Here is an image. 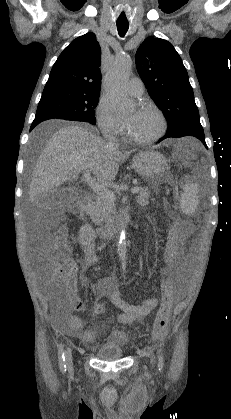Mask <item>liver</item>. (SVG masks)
Masks as SVG:
<instances>
[{
    "label": "liver",
    "instance_id": "liver-1",
    "mask_svg": "<svg viewBox=\"0 0 231 419\" xmlns=\"http://www.w3.org/2000/svg\"><path fill=\"white\" fill-rule=\"evenodd\" d=\"M132 154L110 149L106 141L86 127L60 128L47 141L32 174L29 200L34 202L64 182L77 181L89 170L101 184L112 182L120 162Z\"/></svg>",
    "mask_w": 231,
    "mask_h": 419
}]
</instances>
